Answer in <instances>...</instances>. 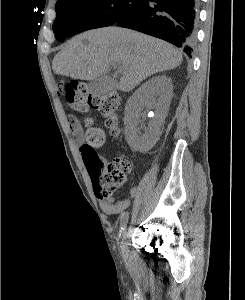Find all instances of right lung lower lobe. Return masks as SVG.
Here are the masks:
<instances>
[{
  "label": "right lung lower lobe",
  "instance_id": "98d812e1",
  "mask_svg": "<svg viewBox=\"0 0 245 300\" xmlns=\"http://www.w3.org/2000/svg\"><path fill=\"white\" fill-rule=\"evenodd\" d=\"M197 5L198 0H147L115 24L166 40L191 55Z\"/></svg>",
  "mask_w": 245,
  "mask_h": 300
}]
</instances>
